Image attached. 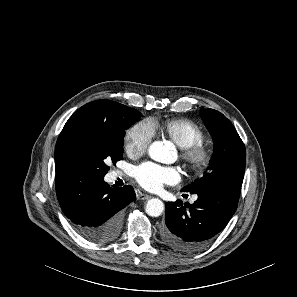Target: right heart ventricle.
Wrapping results in <instances>:
<instances>
[{
    "mask_svg": "<svg viewBox=\"0 0 297 297\" xmlns=\"http://www.w3.org/2000/svg\"><path fill=\"white\" fill-rule=\"evenodd\" d=\"M149 124L153 133L158 130L163 136L170 139L180 148L202 142L206 138L203 128L194 121L186 118L169 119L161 123L149 121Z\"/></svg>",
    "mask_w": 297,
    "mask_h": 297,
    "instance_id": "e07e8e85",
    "label": "right heart ventricle"
}]
</instances>
